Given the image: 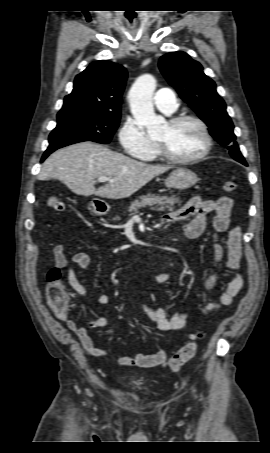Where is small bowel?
Listing matches in <instances>:
<instances>
[{
  "mask_svg": "<svg viewBox=\"0 0 270 453\" xmlns=\"http://www.w3.org/2000/svg\"><path fill=\"white\" fill-rule=\"evenodd\" d=\"M233 208V200L223 196L219 199L201 200L198 197L191 198L181 209L166 214L163 222L174 223L178 221H186L184 225V233L188 239H198L205 230L206 217L212 214V226L214 229V261L220 263L224 257V248L220 242V235L227 232L228 238L226 243L227 261L224 268L216 274L210 276L202 283V287L206 291L213 290L221 279L224 271H232L234 275L228 283L225 291L221 293L216 302H211L202 307L198 314L200 316L208 315L222 306L230 305L233 298L243 287L244 279L239 272L242 266V231L239 226L232 225L231 211ZM54 256V264L66 277L70 287L76 294L88 299L95 305H107L109 296L106 293H100L92 296L88 293L86 287L80 282L76 274V267L79 270H86L90 264V257L85 252H77L72 258V265H68L65 256V247L62 244H57L52 249ZM172 277L170 271H164L154 277V281L158 284L168 282ZM143 307L149 317L156 323L157 328L161 331H172L183 329L190 319L191 309L187 308L183 311H178L168 316L165 310L157 305L151 306L147 303ZM61 321L65 322L67 327L75 332L84 348L91 356L99 357L106 354V350L94 344L89 329L102 328L108 325L109 319L106 316H101L90 321L86 326H79L77 322L66 316H57ZM167 361V353L158 351L152 354L136 353L133 355H123L118 358L119 364L123 366L136 367H155L164 364Z\"/></svg>",
  "mask_w": 270,
  "mask_h": 453,
  "instance_id": "1",
  "label": "small bowel"
}]
</instances>
